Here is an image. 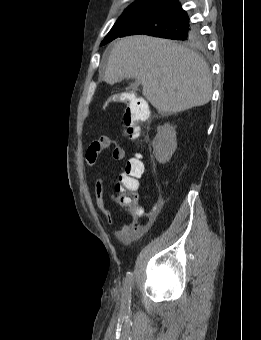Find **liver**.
<instances>
[{
    "label": "liver",
    "mask_w": 261,
    "mask_h": 340,
    "mask_svg": "<svg viewBox=\"0 0 261 340\" xmlns=\"http://www.w3.org/2000/svg\"><path fill=\"white\" fill-rule=\"evenodd\" d=\"M136 78L144 97L162 114L208 103L212 80L206 62L168 39L146 35L119 39L113 46L104 81L110 85Z\"/></svg>",
    "instance_id": "6515ba94"
}]
</instances>
